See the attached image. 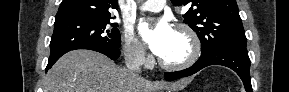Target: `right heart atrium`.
Wrapping results in <instances>:
<instances>
[{"label":"right heart atrium","instance_id":"1","mask_svg":"<svg viewBox=\"0 0 289 92\" xmlns=\"http://www.w3.org/2000/svg\"><path fill=\"white\" fill-rule=\"evenodd\" d=\"M123 52L126 59L135 65H145L149 61L142 43L135 37L131 29H126L123 36Z\"/></svg>","mask_w":289,"mask_h":92}]
</instances>
